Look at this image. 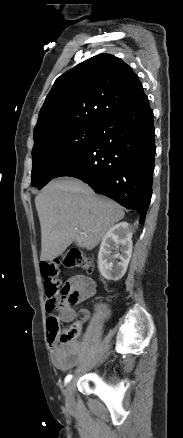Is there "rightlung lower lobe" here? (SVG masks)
Returning a JSON list of instances; mask_svg holds the SVG:
<instances>
[{
	"mask_svg": "<svg viewBox=\"0 0 183 438\" xmlns=\"http://www.w3.org/2000/svg\"><path fill=\"white\" fill-rule=\"evenodd\" d=\"M155 129L145 97L97 125L90 144L55 176L81 179L141 214L143 224L152 196Z\"/></svg>",
	"mask_w": 183,
	"mask_h": 438,
	"instance_id": "obj_1",
	"label": "right lung lower lobe"
}]
</instances>
